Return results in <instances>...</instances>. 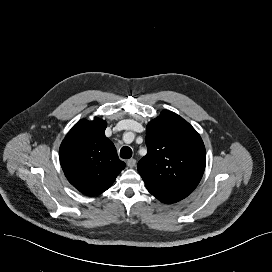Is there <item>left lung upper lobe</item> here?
<instances>
[{
    "label": "left lung upper lobe",
    "mask_w": 272,
    "mask_h": 272,
    "mask_svg": "<svg viewBox=\"0 0 272 272\" xmlns=\"http://www.w3.org/2000/svg\"><path fill=\"white\" fill-rule=\"evenodd\" d=\"M148 152L138 163L146 187L187 197L199 184L206 165L197 131L174 112L163 110L146 128Z\"/></svg>",
    "instance_id": "5c2ea615"
}]
</instances>
